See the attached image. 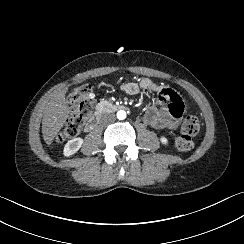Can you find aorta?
<instances>
[{
	"label": "aorta",
	"instance_id": "762f6f07",
	"mask_svg": "<svg viewBox=\"0 0 244 244\" xmlns=\"http://www.w3.org/2000/svg\"><path fill=\"white\" fill-rule=\"evenodd\" d=\"M117 118H118L119 120H123V119H125V118H126V112H125L124 110H119V111L117 112Z\"/></svg>",
	"mask_w": 244,
	"mask_h": 244
}]
</instances>
